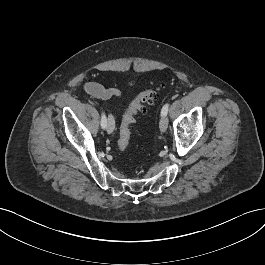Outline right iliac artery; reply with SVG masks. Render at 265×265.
Here are the masks:
<instances>
[{
    "instance_id": "82829eb1",
    "label": "right iliac artery",
    "mask_w": 265,
    "mask_h": 265,
    "mask_svg": "<svg viewBox=\"0 0 265 265\" xmlns=\"http://www.w3.org/2000/svg\"><path fill=\"white\" fill-rule=\"evenodd\" d=\"M107 126V119H106V116L104 113H102V116H101V127L103 129H105Z\"/></svg>"
}]
</instances>
